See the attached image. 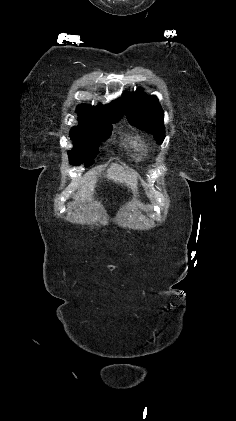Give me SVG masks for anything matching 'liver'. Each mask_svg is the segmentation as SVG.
I'll return each mask as SVG.
<instances>
[{"instance_id": "6515ba94", "label": "liver", "mask_w": 236, "mask_h": 421, "mask_svg": "<svg viewBox=\"0 0 236 421\" xmlns=\"http://www.w3.org/2000/svg\"><path fill=\"white\" fill-rule=\"evenodd\" d=\"M97 170L93 168V170H88L86 172L83 180H81L80 188L78 190V194H75V202L78 200H82V198H90L94 192L95 182L97 180ZM109 180H114V182H126L127 186L137 194L136 190H138V182H137V174L133 172L131 168H123L120 164H112L110 168L107 170L106 174Z\"/></svg>"}]
</instances>
